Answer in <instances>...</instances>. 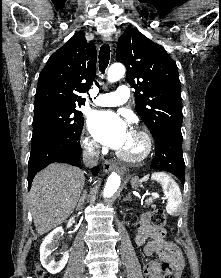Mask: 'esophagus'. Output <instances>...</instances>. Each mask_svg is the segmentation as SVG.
I'll list each match as a JSON object with an SVG mask.
<instances>
[{
    "instance_id": "1",
    "label": "esophagus",
    "mask_w": 221,
    "mask_h": 278,
    "mask_svg": "<svg viewBox=\"0 0 221 278\" xmlns=\"http://www.w3.org/2000/svg\"><path fill=\"white\" fill-rule=\"evenodd\" d=\"M103 41H104V43H106V44H112V39H111L110 36H104V37H103ZM117 168H118V167H117L116 163H114V162L107 161V160H105V161L103 162V169H104V171H105L106 173H109V172H111V171H114V170H116Z\"/></svg>"
}]
</instances>
